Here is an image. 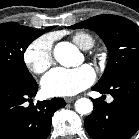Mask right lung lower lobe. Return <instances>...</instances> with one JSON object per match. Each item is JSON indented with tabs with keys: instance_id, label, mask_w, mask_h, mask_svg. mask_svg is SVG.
<instances>
[{
	"instance_id": "1",
	"label": "right lung lower lobe",
	"mask_w": 139,
	"mask_h": 139,
	"mask_svg": "<svg viewBox=\"0 0 139 139\" xmlns=\"http://www.w3.org/2000/svg\"><path fill=\"white\" fill-rule=\"evenodd\" d=\"M37 83L23 84L0 76V139H46L51 129L52 115L65 106L63 98L32 102Z\"/></svg>"
}]
</instances>
